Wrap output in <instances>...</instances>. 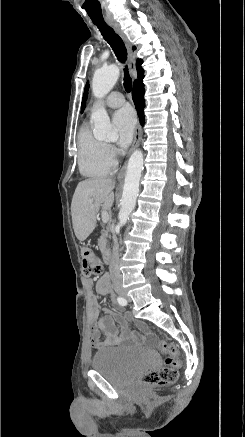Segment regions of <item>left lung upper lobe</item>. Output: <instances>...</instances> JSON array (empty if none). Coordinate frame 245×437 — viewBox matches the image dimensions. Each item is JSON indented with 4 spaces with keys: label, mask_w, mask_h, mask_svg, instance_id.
Segmentation results:
<instances>
[{
    "label": "left lung upper lobe",
    "mask_w": 245,
    "mask_h": 437,
    "mask_svg": "<svg viewBox=\"0 0 245 437\" xmlns=\"http://www.w3.org/2000/svg\"><path fill=\"white\" fill-rule=\"evenodd\" d=\"M88 89H89V82L86 83V86H85V89H84L82 105H81V112L84 111V108H85V105H86V99H87V96H88Z\"/></svg>",
    "instance_id": "5c2ea615"
}]
</instances>
